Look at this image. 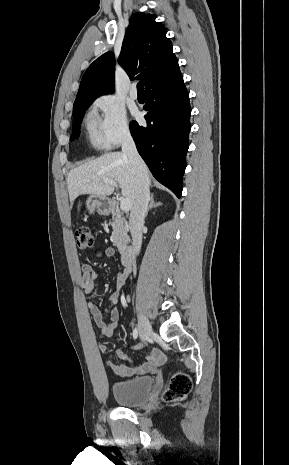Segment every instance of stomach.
<instances>
[{
    "label": "stomach",
    "instance_id": "stomach-1",
    "mask_svg": "<svg viewBox=\"0 0 289 465\" xmlns=\"http://www.w3.org/2000/svg\"><path fill=\"white\" fill-rule=\"evenodd\" d=\"M86 208L90 214L97 212L106 215L110 211L111 201L104 196L90 195L86 201Z\"/></svg>",
    "mask_w": 289,
    "mask_h": 465
}]
</instances>
